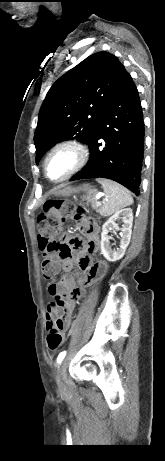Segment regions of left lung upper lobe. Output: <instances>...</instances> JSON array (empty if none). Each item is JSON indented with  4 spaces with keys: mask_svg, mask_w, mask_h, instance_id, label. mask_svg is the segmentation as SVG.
I'll use <instances>...</instances> for the list:
<instances>
[{
    "mask_svg": "<svg viewBox=\"0 0 165 461\" xmlns=\"http://www.w3.org/2000/svg\"><path fill=\"white\" fill-rule=\"evenodd\" d=\"M127 71L106 52L93 54L62 75L41 106L34 135L36 163L44 152L67 139L89 143Z\"/></svg>",
    "mask_w": 165,
    "mask_h": 461,
    "instance_id": "5c2ea615",
    "label": "left lung upper lobe"
}]
</instances>
